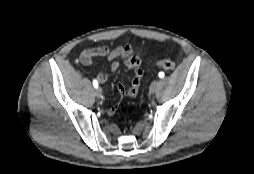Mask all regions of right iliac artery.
Returning <instances> with one entry per match:
<instances>
[{
	"label": "right iliac artery",
	"instance_id": "right-iliac-artery-1",
	"mask_svg": "<svg viewBox=\"0 0 254 174\" xmlns=\"http://www.w3.org/2000/svg\"><path fill=\"white\" fill-rule=\"evenodd\" d=\"M93 86H94L95 88H98V82H97V80H93Z\"/></svg>",
	"mask_w": 254,
	"mask_h": 174
}]
</instances>
